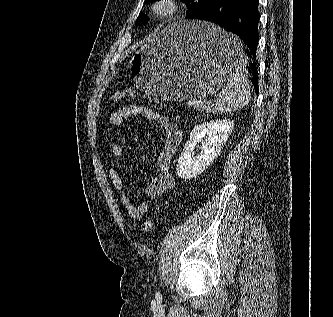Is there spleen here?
<instances>
[{"label":"spleen","mask_w":333,"mask_h":317,"mask_svg":"<svg viewBox=\"0 0 333 317\" xmlns=\"http://www.w3.org/2000/svg\"><path fill=\"white\" fill-rule=\"evenodd\" d=\"M219 41L222 46L227 47L230 57L228 78L212 108L213 111L222 114L245 107L250 101L251 92L247 82L248 75L245 69V57L239 49V39L220 28Z\"/></svg>","instance_id":"1"}]
</instances>
